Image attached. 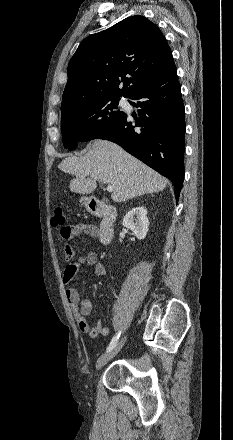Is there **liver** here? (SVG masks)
Returning a JSON list of instances; mask_svg holds the SVG:
<instances>
[{
  "mask_svg": "<svg viewBox=\"0 0 233 440\" xmlns=\"http://www.w3.org/2000/svg\"><path fill=\"white\" fill-rule=\"evenodd\" d=\"M59 169L75 175L69 188L79 194H90L97 181L114 186L111 199L125 202L134 197L159 192L168 180L127 153L119 145L106 140H95L81 157H67Z\"/></svg>",
  "mask_w": 233,
  "mask_h": 440,
  "instance_id": "6515ba94",
  "label": "liver"
}]
</instances>
